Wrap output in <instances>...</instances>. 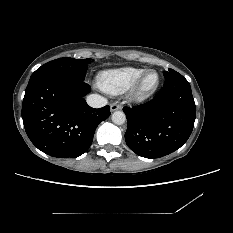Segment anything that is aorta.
<instances>
[{
    "mask_svg": "<svg viewBox=\"0 0 233 233\" xmlns=\"http://www.w3.org/2000/svg\"><path fill=\"white\" fill-rule=\"evenodd\" d=\"M112 121L114 124L122 125L126 121V116L122 111H115L112 114Z\"/></svg>",
    "mask_w": 233,
    "mask_h": 233,
    "instance_id": "1",
    "label": "aorta"
}]
</instances>
